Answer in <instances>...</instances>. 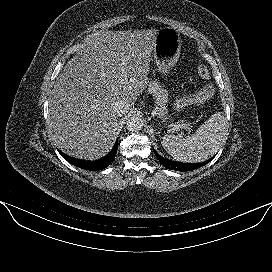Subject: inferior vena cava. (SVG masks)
Masks as SVG:
<instances>
[{
  "label": "inferior vena cava",
  "mask_w": 272,
  "mask_h": 272,
  "mask_svg": "<svg viewBox=\"0 0 272 272\" xmlns=\"http://www.w3.org/2000/svg\"><path fill=\"white\" fill-rule=\"evenodd\" d=\"M113 111L116 116L121 117L123 114L128 113L129 106L125 104L123 101H117L113 106Z\"/></svg>",
  "instance_id": "inferior-vena-cava-1"
}]
</instances>
